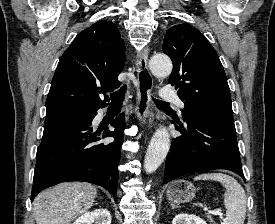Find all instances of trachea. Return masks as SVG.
<instances>
[{"label": "trachea", "instance_id": "obj_1", "mask_svg": "<svg viewBox=\"0 0 275 224\" xmlns=\"http://www.w3.org/2000/svg\"><path fill=\"white\" fill-rule=\"evenodd\" d=\"M125 91H126V85H124L119 91L111 94V105L121 107L123 99H124ZM153 100L157 104V106L169 105L168 103L160 101V100H156V99H153Z\"/></svg>", "mask_w": 275, "mask_h": 224}]
</instances>
